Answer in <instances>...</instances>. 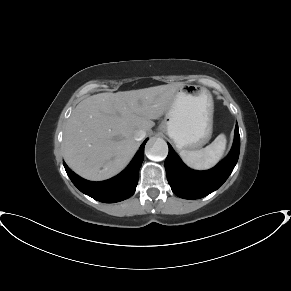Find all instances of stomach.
I'll list each match as a JSON object with an SVG mask.
<instances>
[{
    "instance_id": "obj_1",
    "label": "stomach",
    "mask_w": 291,
    "mask_h": 291,
    "mask_svg": "<svg viewBox=\"0 0 291 291\" xmlns=\"http://www.w3.org/2000/svg\"><path fill=\"white\" fill-rule=\"evenodd\" d=\"M214 104L211 93L198 85H182L173 95L159 130L180 150L204 146L213 131Z\"/></svg>"
}]
</instances>
